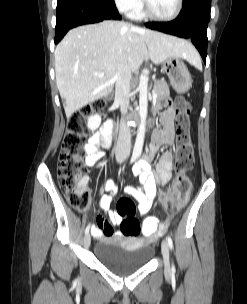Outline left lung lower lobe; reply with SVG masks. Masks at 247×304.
<instances>
[{"instance_id": "left-lung-lower-lobe-1", "label": "left lung lower lobe", "mask_w": 247, "mask_h": 304, "mask_svg": "<svg viewBox=\"0 0 247 304\" xmlns=\"http://www.w3.org/2000/svg\"><path fill=\"white\" fill-rule=\"evenodd\" d=\"M211 0H187L179 16L166 23H146L148 28L191 39L206 62L207 27L210 20Z\"/></svg>"}]
</instances>
